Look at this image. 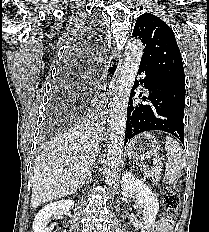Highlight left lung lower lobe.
I'll return each instance as SVG.
<instances>
[{
    "instance_id": "obj_1",
    "label": "left lung lower lobe",
    "mask_w": 209,
    "mask_h": 232,
    "mask_svg": "<svg viewBox=\"0 0 209 232\" xmlns=\"http://www.w3.org/2000/svg\"><path fill=\"white\" fill-rule=\"evenodd\" d=\"M145 77L135 80L127 108L125 144L135 135L160 130L177 137L184 145L185 85L162 79L146 65L140 64L138 74ZM143 84L149 94L142 97L146 104L133 103L134 90Z\"/></svg>"
}]
</instances>
